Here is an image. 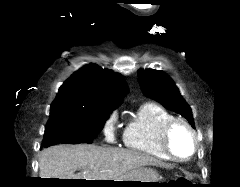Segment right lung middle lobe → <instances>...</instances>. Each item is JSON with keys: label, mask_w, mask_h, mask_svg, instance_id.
Here are the masks:
<instances>
[{"label": "right lung middle lobe", "mask_w": 240, "mask_h": 187, "mask_svg": "<svg viewBox=\"0 0 240 187\" xmlns=\"http://www.w3.org/2000/svg\"><path fill=\"white\" fill-rule=\"evenodd\" d=\"M111 112L66 106L51 108L42 146L92 143Z\"/></svg>", "instance_id": "obj_1"}]
</instances>
